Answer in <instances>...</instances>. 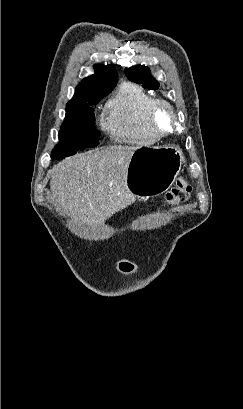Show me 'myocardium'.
<instances>
[{
	"label": "myocardium",
	"mask_w": 243,
	"mask_h": 409,
	"mask_svg": "<svg viewBox=\"0 0 243 409\" xmlns=\"http://www.w3.org/2000/svg\"><path fill=\"white\" fill-rule=\"evenodd\" d=\"M166 109L172 118V127L167 131L158 128L156 117L160 109ZM147 124L150 131L157 137L163 138L173 134L178 126V117L172 105L163 99H154L147 110Z\"/></svg>",
	"instance_id": "obj_1"
}]
</instances>
